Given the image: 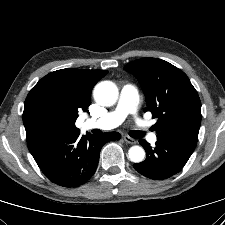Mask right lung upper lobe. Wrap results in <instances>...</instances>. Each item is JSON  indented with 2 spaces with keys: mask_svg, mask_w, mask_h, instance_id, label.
<instances>
[{
  "mask_svg": "<svg viewBox=\"0 0 225 225\" xmlns=\"http://www.w3.org/2000/svg\"><path fill=\"white\" fill-rule=\"evenodd\" d=\"M106 70L66 68L49 73L29 92L23 112L28 148L64 133L80 132L78 111L89 104L92 87Z\"/></svg>",
  "mask_w": 225,
  "mask_h": 225,
  "instance_id": "cb5924a9",
  "label": "right lung upper lobe"
}]
</instances>
